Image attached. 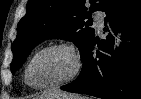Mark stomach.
Segmentation results:
<instances>
[{
    "mask_svg": "<svg viewBox=\"0 0 141 99\" xmlns=\"http://www.w3.org/2000/svg\"><path fill=\"white\" fill-rule=\"evenodd\" d=\"M37 99H52L49 95H42Z\"/></svg>",
    "mask_w": 141,
    "mask_h": 99,
    "instance_id": "stomach-1",
    "label": "stomach"
}]
</instances>
